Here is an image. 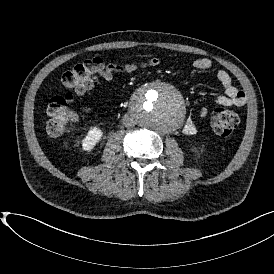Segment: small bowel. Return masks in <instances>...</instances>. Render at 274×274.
<instances>
[{"instance_id":"1","label":"small bowel","mask_w":274,"mask_h":274,"mask_svg":"<svg viewBox=\"0 0 274 274\" xmlns=\"http://www.w3.org/2000/svg\"><path fill=\"white\" fill-rule=\"evenodd\" d=\"M161 63L159 57H151L145 61L139 63H122V64H108L99 73V78L91 79L86 82L82 87L75 89L77 96H82L84 92L90 89L93 85L100 87L102 80L108 84H112L115 80L116 74H132L141 69L156 67ZM193 67L200 71H209L213 67V63L209 58H197L193 61ZM216 77L220 81L224 94L219 96L216 100L217 104L224 107L230 106H243L246 103V93L236 87L229 73L224 70H218ZM102 80H101V79ZM207 109L203 108L199 111L198 117L203 119L207 116ZM197 132V123L194 119L188 118L183 125V133L191 136Z\"/></svg>"}]
</instances>
